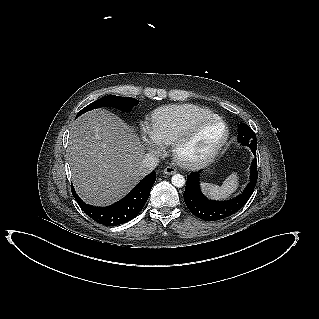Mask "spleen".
Returning a JSON list of instances; mask_svg holds the SVG:
<instances>
[{"mask_svg": "<svg viewBox=\"0 0 319 319\" xmlns=\"http://www.w3.org/2000/svg\"><path fill=\"white\" fill-rule=\"evenodd\" d=\"M238 175L232 173L221 186L212 183H202L203 193L213 199H226L230 197L238 188Z\"/></svg>", "mask_w": 319, "mask_h": 319, "instance_id": "1", "label": "spleen"}]
</instances>
